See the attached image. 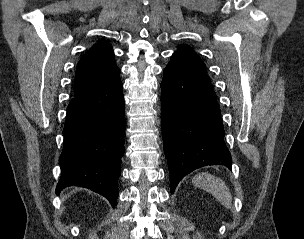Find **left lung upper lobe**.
I'll return each mask as SVG.
<instances>
[{
    "mask_svg": "<svg viewBox=\"0 0 304 239\" xmlns=\"http://www.w3.org/2000/svg\"><path fill=\"white\" fill-rule=\"evenodd\" d=\"M179 51L175 52V54L180 55L185 60H187L190 64L194 65L198 69L205 71V64L203 61L196 55V53L190 49L188 46L181 45L178 47Z\"/></svg>",
    "mask_w": 304,
    "mask_h": 239,
    "instance_id": "5c2ea615",
    "label": "left lung upper lobe"
}]
</instances>
